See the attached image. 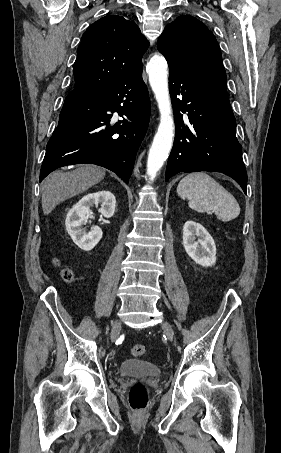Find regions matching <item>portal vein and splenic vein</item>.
<instances>
[{
    "instance_id": "obj_1",
    "label": "portal vein and splenic vein",
    "mask_w": 281,
    "mask_h": 453,
    "mask_svg": "<svg viewBox=\"0 0 281 453\" xmlns=\"http://www.w3.org/2000/svg\"><path fill=\"white\" fill-rule=\"evenodd\" d=\"M212 213L209 212L208 210L206 211V215H211Z\"/></svg>"
}]
</instances>
